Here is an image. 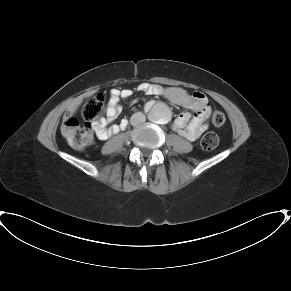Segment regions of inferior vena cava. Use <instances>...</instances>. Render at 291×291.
Wrapping results in <instances>:
<instances>
[{
  "label": "inferior vena cava",
  "mask_w": 291,
  "mask_h": 291,
  "mask_svg": "<svg viewBox=\"0 0 291 291\" xmlns=\"http://www.w3.org/2000/svg\"><path fill=\"white\" fill-rule=\"evenodd\" d=\"M146 121V117L141 112L134 113L130 118V123L132 126H138L141 123H144Z\"/></svg>",
  "instance_id": "inferior-vena-cava-1"
}]
</instances>
